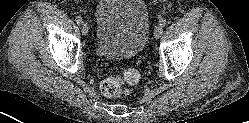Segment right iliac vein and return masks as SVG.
I'll return each instance as SVG.
<instances>
[{
	"label": "right iliac vein",
	"mask_w": 249,
	"mask_h": 123,
	"mask_svg": "<svg viewBox=\"0 0 249 123\" xmlns=\"http://www.w3.org/2000/svg\"><path fill=\"white\" fill-rule=\"evenodd\" d=\"M80 29H81V32H82V34L83 35H87L88 34V25H87V23H85V22H82L81 24H80Z\"/></svg>",
	"instance_id": "right-iliac-vein-1"
}]
</instances>
